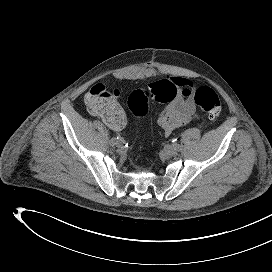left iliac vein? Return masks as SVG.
I'll return each mask as SVG.
<instances>
[{
    "label": "left iliac vein",
    "instance_id": "4c4485c4",
    "mask_svg": "<svg viewBox=\"0 0 272 272\" xmlns=\"http://www.w3.org/2000/svg\"><path fill=\"white\" fill-rule=\"evenodd\" d=\"M165 154L169 157H175L177 155V152L174 148H172L171 146H167L165 148Z\"/></svg>",
    "mask_w": 272,
    "mask_h": 272
}]
</instances>
